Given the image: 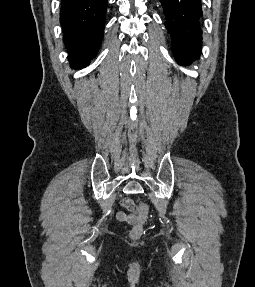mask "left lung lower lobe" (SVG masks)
<instances>
[{"instance_id":"obj_1","label":"left lung lower lobe","mask_w":255,"mask_h":287,"mask_svg":"<svg viewBox=\"0 0 255 287\" xmlns=\"http://www.w3.org/2000/svg\"><path fill=\"white\" fill-rule=\"evenodd\" d=\"M166 14L176 61L189 64L198 59L202 41L201 0H159Z\"/></svg>"}]
</instances>
